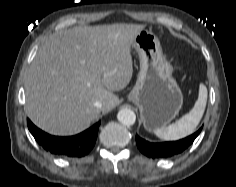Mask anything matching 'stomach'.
Returning <instances> with one entry per match:
<instances>
[{
	"instance_id": "stomach-1",
	"label": "stomach",
	"mask_w": 236,
	"mask_h": 187,
	"mask_svg": "<svg viewBox=\"0 0 236 187\" xmlns=\"http://www.w3.org/2000/svg\"><path fill=\"white\" fill-rule=\"evenodd\" d=\"M132 46L139 55L140 71L128 100L139 108L144 128L151 132L165 127L177 116L183 94L155 34L141 30Z\"/></svg>"
}]
</instances>
